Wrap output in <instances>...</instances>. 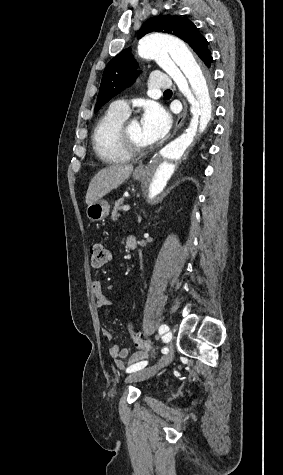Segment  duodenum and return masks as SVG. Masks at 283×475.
<instances>
[{"label": "duodenum", "instance_id": "1", "mask_svg": "<svg viewBox=\"0 0 283 475\" xmlns=\"http://www.w3.org/2000/svg\"><path fill=\"white\" fill-rule=\"evenodd\" d=\"M127 246L131 250H133L137 247V239L135 238V236H133V235L128 236Z\"/></svg>", "mask_w": 283, "mask_h": 475}]
</instances>
